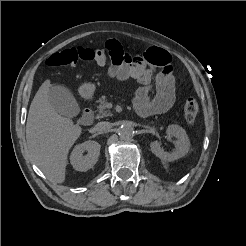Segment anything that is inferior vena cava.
Segmentation results:
<instances>
[{
    "mask_svg": "<svg viewBox=\"0 0 246 246\" xmlns=\"http://www.w3.org/2000/svg\"><path fill=\"white\" fill-rule=\"evenodd\" d=\"M95 127H96V130L98 131H107L112 127V123L103 121V122L97 123Z\"/></svg>",
    "mask_w": 246,
    "mask_h": 246,
    "instance_id": "inferior-vena-cava-1",
    "label": "inferior vena cava"
}]
</instances>
